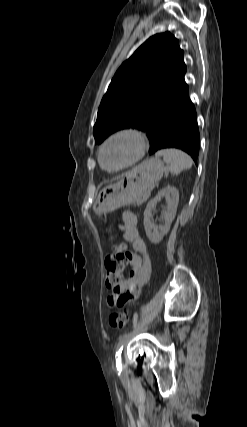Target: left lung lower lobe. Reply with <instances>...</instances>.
I'll use <instances>...</instances> for the list:
<instances>
[{
	"label": "left lung lower lobe",
	"mask_w": 247,
	"mask_h": 427,
	"mask_svg": "<svg viewBox=\"0 0 247 427\" xmlns=\"http://www.w3.org/2000/svg\"><path fill=\"white\" fill-rule=\"evenodd\" d=\"M146 134L151 142L150 155L164 148H178L188 153L197 164L200 136L188 88L157 113Z\"/></svg>",
	"instance_id": "0a47b994"
}]
</instances>
